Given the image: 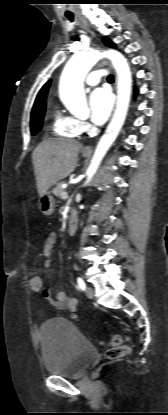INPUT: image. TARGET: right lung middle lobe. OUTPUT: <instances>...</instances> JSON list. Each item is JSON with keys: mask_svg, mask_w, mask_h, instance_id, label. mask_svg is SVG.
Here are the masks:
<instances>
[{"mask_svg": "<svg viewBox=\"0 0 168 415\" xmlns=\"http://www.w3.org/2000/svg\"><path fill=\"white\" fill-rule=\"evenodd\" d=\"M45 114V107L35 110L31 113V133L36 134L41 130L43 118Z\"/></svg>", "mask_w": 168, "mask_h": 415, "instance_id": "dd1d6c3e", "label": "right lung middle lobe"}]
</instances>
